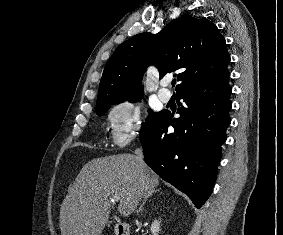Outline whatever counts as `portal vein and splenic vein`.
<instances>
[{
	"mask_svg": "<svg viewBox=\"0 0 283 235\" xmlns=\"http://www.w3.org/2000/svg\"><path fill=\"white\" fill-rule=\"evenodd\" d=\"M111 200L118 202L120 200V197L117 194H112L111 195Z\"/></svg>",
	"mask_w": 283,
	"mask_h": 235,
	"instance_id": "portal-vein-and-splenic-vein-1",
	"label": "portal vein and splenic vein"
}]
</instances>
